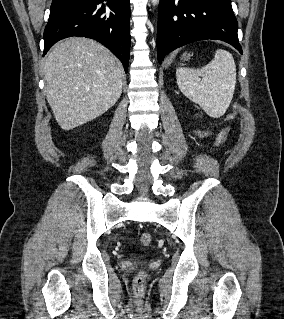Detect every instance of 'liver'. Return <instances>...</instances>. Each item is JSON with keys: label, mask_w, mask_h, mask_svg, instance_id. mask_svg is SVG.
<instances>
[{"label": "liver", "mask_w": 284, "mask_h": 319, "mask_svg": "<svg viewBox=\"0 0 284 319\" xmlns=\"http://www.w3.org/2000/svg\"><path fill=\"white\" fill-rule=\"evenodd\" d=\"M46 97L59 126L71 130L110 109L122 93V68L103 45L70 38L49 52Z\"/></svg>", "instance_id": "liver-1"}]
</instances>
